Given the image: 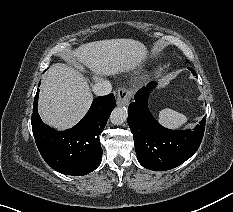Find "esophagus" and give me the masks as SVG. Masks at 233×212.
I'll return each instance as SVG.
<instances>
[{
	"mask_svg": "<svg viewBox=\"0 0 233 212\" xmlns=\"http://www.w3.org/2000/svg\"><path fill=\"white\" fill-rule=\"evenodd\" d=\"M132 98V92L126 88H119L117 91L116 104L118 106H128Z\"/></svg>",
	"mask_w": 233,
	"mask_h": 212,
	"instance_id": "esophagus-1",
	"label": "esophagus"
}]
</instances>
